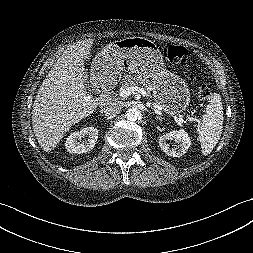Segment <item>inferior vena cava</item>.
<instances>
[{
  "mask_svg": "<svg viewBox=\"0 0 253 253\" xmlns=\"http://www.w3.org/2000/svg\"><path fill=\"white\" fill-rule=\"evenodd\" d=\"M122 108L123 104L121 101H109L104 105L103 111L106 115L113 116L118 114Z\"/></svg>",
  "mask_w": 253,
  "mask_h": 253,
  "instance_id": "602c4592",
  "label": "inferior vena cava"
}]
</instances>
